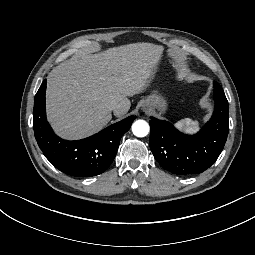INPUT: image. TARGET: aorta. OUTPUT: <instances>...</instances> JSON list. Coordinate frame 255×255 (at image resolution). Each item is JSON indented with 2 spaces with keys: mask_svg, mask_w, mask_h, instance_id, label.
Masks as SVG:
<instances>
[{
  "mask_svg": "<svg viewBox=\"0 0 255 255\" xmlns=\"http://www.w3.org/2000/svg\"><path fill=\"white\" fill-rule=\"evenodd\" d=\"M132 132L137 137H145L149 133V125L144 120H137L132 125Z\"/></svg>",
  "mask_w": 255,
  "mask_h": 255,
  "instance_id": "1",
  "label": "aorta"
}]
</instances>
